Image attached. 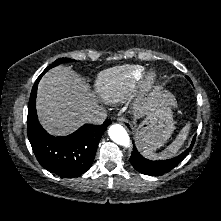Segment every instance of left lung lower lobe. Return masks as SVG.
I'll return each instance as SVG.
<instances>
[{"mask_svg":"<svg viewBox=\"0 0 221 221\" xmlns=\"http://www.w3.org/2000/svg\"><path fill=\"white\" fill-rule=\"evenodd\" d=\"M196 135L193 138V141L190 147L185 150L183 153L178 155L175 158L159 161H151L144 158L135 148L130 157V163L132 166L140 173L150 176H158L163 173H167L175 168L192 150V147L195 142Z\"/></svg>","mask_w":221,"mask_h":221,"instance_id":"0a47b994","label":"left lung lower lobe"}]
</instances>
